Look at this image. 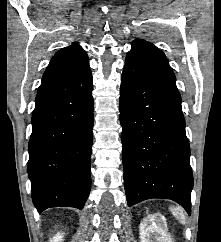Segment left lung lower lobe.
Wrapping results in <instances>:
<instances>
[{
	"label": "left lung lower lobe",
	"instance_id": "1",
	"mask_svg": "<svg viewBox=\"0 0 221 242\" xmlns=\"http://www.w3.org/2000/svg\"><path fill=\"white\" fill-rule=\"evenodd\" d=\"M120 122L128 206L166 198L190 214L193 175L179 91L149 81L125 65Z\"/></svg>",
	"mask_w": 221,
	"mask_h": 242
}]
</instances>
